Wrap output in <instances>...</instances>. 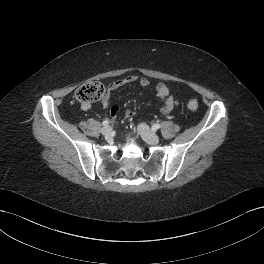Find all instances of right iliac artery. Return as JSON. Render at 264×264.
Returning a JSON list of instances; mask_svg holds the SVG:
<instances>
[{"instance_id": "obj_1", "label": "right iliac artery", "mask_w": 264, "mask_h": 264, "mask_svg": "<svg viewBox=\"0 0 264 264\" xmlns=\"http://www.w3.org/2000/svg\"><path fill=\"white\" fill-rule=\"evenodd\" d=\"M109 124V121L108 120H104L103 122H102V125L103 126H107Z\"/></svg>"}]
</instances>
